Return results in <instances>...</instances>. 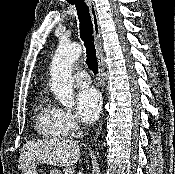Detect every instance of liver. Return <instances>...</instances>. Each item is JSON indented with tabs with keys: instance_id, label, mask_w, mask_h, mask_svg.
Segmentation results:
<instances>
[{
	"instance_id": "obj_1",
	"label": "liver",
	"mask_w": 175,
	"mask_h": 174,
	"mask_svg": "<svg viewBox=\"0 0 175 174\" xmlns=\"http://www.w3.org/2000/svg\"><path fill=\"white\" fill-rule=\"evenodd\" d=\"M79 156L80 146L77 141L69 139L28 141L21 149L19 168L23 170L35 163L70 167L77 163Z\"/></svg>"
}]
</instances>
